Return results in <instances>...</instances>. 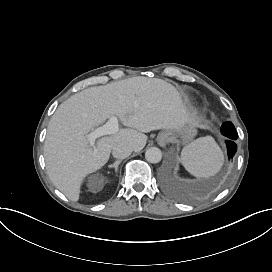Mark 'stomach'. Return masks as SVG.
I'll return each instance as SVG.
<instances>
[{"instance_id":"stomach-1","label":"stomach","mask_w":272,"mask_h":272,"mask_svg":"<svg viewBox=\"0 0 272 272\" xmlns=\"http://www.w3.org/2000/svg\"><path fill=\"white\" fill-rule=\"evenodd\" d=\"M197 134V129L192 124H184L178 130L164 131L158 134L157 141L160 145L164 146L162 143L163 135H167V142H175L178 139L182 144H187L193 140Z\"/></svg>"}]
</instances>
